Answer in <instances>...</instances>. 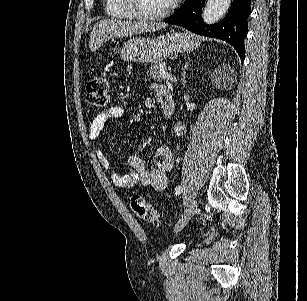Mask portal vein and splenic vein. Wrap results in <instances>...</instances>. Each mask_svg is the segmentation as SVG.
I'll list each match as a JSON object with an SVG mask.
<instances>
[{
  "instance_id": "1",
  "label": "portal vein and splenic vein",
  "mask_w": 307,
  "mask_h": 301,
  "mask_svg": "<svg viewBox=\"0 0 307 301\" xmlns=\"http://www.w3.org/2000/svg\"><path fill=\"white\" fill-rule=\"evenodd\" d=\"M164 78H168V80H171V82H176V78H174V76H170V74H165V72Z\"/></svg>"
}]
</instances>
